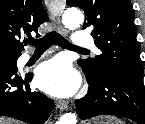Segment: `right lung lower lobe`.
Wrapping results in <instances>:
<instances>
[{
	"instance_id": "right-lung-lower-lobe-1",
	"label": "right lung lower lobe",
	"mask_w": 145,
	"mask_h": 124,
	"mask_svg": "<svg viewBox=\"0 0 145 124\" xmlns=\"http://www.w3.org/2000/svg\"><path fill=\"white\" fill-rule=\"evenodd\" d=\"M17 58L0 60V116L16 118L29 124H43L50 116L54 102L30 89L32 75L17 74Z\"/></svg>"
}]
</instances>
